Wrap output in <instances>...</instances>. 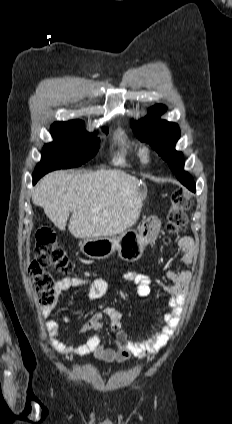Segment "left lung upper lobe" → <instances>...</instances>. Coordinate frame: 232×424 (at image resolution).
<instances>
[{"label":"left lung upper lobe","instance_id":"obj_1","mask_svg":"<svg viewBox=\"0 0 232 424\" xmlns=\"http://www.w3.org/2000/svg\"><path fill=\"white\" fill-rule=\"evenodd\" d=\"M165 110L166 107L161 104L151 107L148 116L136 122L133 130L140 140L149 143L158 152L180 180L190 175L183 170L182 153L174 149L180 138L178 125L159 119Z\"/></svg>","mask_w":232,"mask_h":424}]
</instances>
